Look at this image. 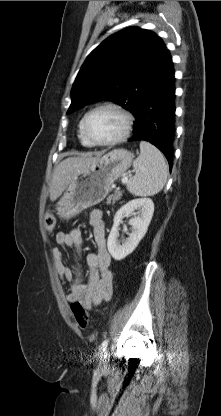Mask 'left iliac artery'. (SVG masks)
Returning a JSON list of instances; mask_svg holds the SVG:
<instances>
[{"mask_svg": "<svg viewBox=\"0 0 221 416\" xmlns=\"http://www.w3.org/2000/svg\"><path fill=\"white\" fill-rule=\"evenodd\" d=\"M108 343H109V340H108V339H105V340L102 342L101 347H100V352H101V353H103V352L106 350V348H107V346H108Z\"/></svg>", "mask_w": 221, "mask_h": 416, "instance_id": "obj_1", "label": "left iliac artery"}]
</instances>
